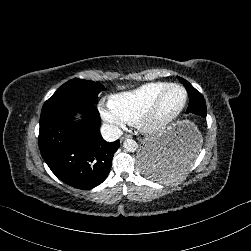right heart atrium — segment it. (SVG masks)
Listing matches in <instances>:
<instances>
[{
    "label": "right heart atrium",
    "instance_id": "right-heart-atrium-1",
    "mask_svg": "<svg viewBox=\"0 0 251 251\" xmlns=\"http://www.w3.org/2000/svg\"><path fill=\"white\" fill-rule=\"evenodd\" d=\"M98 110L102 119L111 127L113 132L121 133L134 119L125 114L119 107L115 97H105L98 102Z\"/></svg>",
    "mask_w": 251,
    "mask_h": 251
}]
</instances>
